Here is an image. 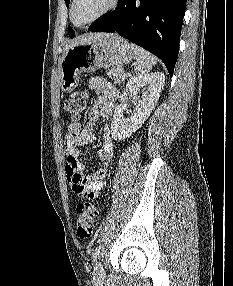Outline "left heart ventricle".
Here are the masks:
<instances>
[{"instance_id": "b2bd125f", "label": "left heart ventricle", "mask_w": 233, "mask_h": 286, "mask_svg": "<svg viewBox=\"0 0 233 286\" xmlns=\"http://www.w3.org/2000/svg\"><path fill=\"white\" fill-rule=\"evenodd\" d=\"M109 3L110 0H77L74 19L78 24H83L102 12Z\"/></svg>"}]
</instances>
